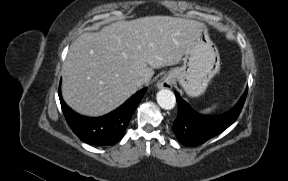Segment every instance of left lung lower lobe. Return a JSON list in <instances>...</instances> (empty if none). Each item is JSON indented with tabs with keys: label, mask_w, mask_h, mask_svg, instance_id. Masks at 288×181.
Instances as JSON below:
<instances>
[{
	"label": "left lung lower lobe",
	"mask_w": 288,
	"mask_h": 181,
	"mask_svg": "<svg viewBox=\"0 0 288 181\" xmlns=\"http://www.w3.org/2000/svg\"><path fill=\"white\" fill-rule=\"evenodd\" d=\"M247 90L238 103L227 113L216 117L202 116L194 112L177 93L178 115L172 130L178 141L185 146L200 145L227 129L239 116L246 99Z\"/></svg>",
	"instance_id": "0a47b994"
}]
</instances>
